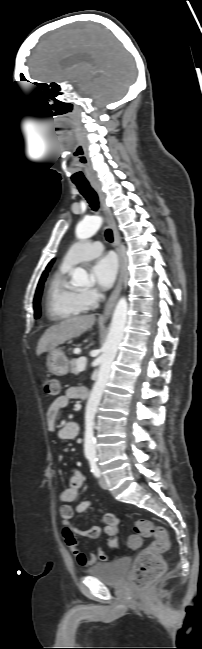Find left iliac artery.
Returning a JSON list of instances; mask_svg holds the SVG:
<instances>
[{
  "label": "left iliac artery",
  "instance_id": "44dca946",
  "mask_svg": "<svg viewBox=\"0 0 202 649\" xmlns=\"http://www.w3.org/2000/svg\"><path fill=\"white\" fill-rule=\"evenodd\" d=\"M89 462H90V467H91V472L96 476H100V470L97 466V458L95 456L89 457Z\"/></svg>",
  "mask_w": 202,
  "mask_h": 649
}]
</instances>
